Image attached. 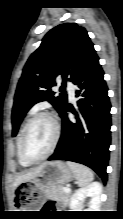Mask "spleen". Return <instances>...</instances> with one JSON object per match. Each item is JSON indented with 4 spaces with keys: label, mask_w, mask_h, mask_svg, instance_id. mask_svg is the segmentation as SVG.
Segmentation results:
<instances>
[{
    "label": "spleen",
    "mask_w": 123,
    "mask_h": 219,
    "mask_svg": "<svg viewBox=\"0 0 123 219\" xmlns=\"http://www.w3.org/2000/svg\"><path fill=\"white\" fill-rule=\"evenodd\" d=\"M67 165L73 171L79 186H86L94 179L93 172L88 167L74 162H67Z\"/></svg>",
    "instance_id": "spleen-1"
}]
</instances>
